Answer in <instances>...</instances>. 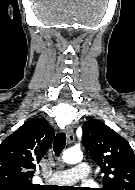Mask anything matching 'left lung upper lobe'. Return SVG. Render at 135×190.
<instances>
[{"label": "left lung upper lobe", "instance_id": "left-lung-upper-lobe-1", "mask_svg": "<svg viewBox=\"0 0 135 190\" xmlns=\"http://www.w3.org/2000/svg\"><path fill=\"white\" fill-rule=\"evenodd\" d=\"M83 145L104 173L102 190H135V154L129 143L105 123L83 125Z\"/></svg>", "mask_w": 135, "mask_h": 190}]
</instances>
